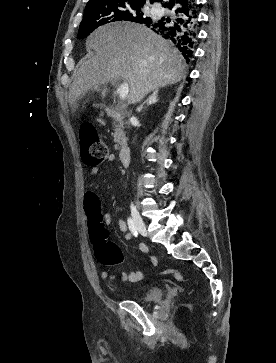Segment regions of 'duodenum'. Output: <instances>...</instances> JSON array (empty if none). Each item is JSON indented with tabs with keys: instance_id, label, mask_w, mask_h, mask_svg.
<instances>
[{
	"instance_id": "410a0bca",
	"label": "duodenum",
	"mask_w": 276,
	"mask_h": 363,
	"mask_svg": "<svg viewBox=\"0 0 276 363\" xmlns=\"http://www.w3.org/2000/svg\"><path fill=\"white\" fill-rule=\"evenodd\" d=\"M104 112L106 116L115 118V119H122L124 116V113L115 107H105ZM130 158V148L128 144L124 143L119 151V161L120 163L125 166L127 165Z\"/></svg>"
}]
</instances>
